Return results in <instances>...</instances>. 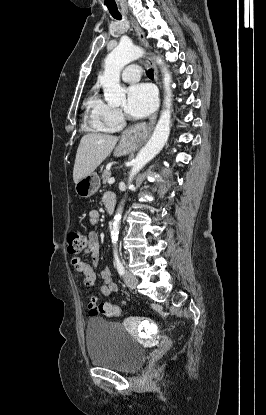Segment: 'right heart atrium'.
Instances as JSON below:
<instances>
[{
  "label": "right heart atrium",
  "mask_w": 266,
  "mask_h": 415,
  "mask_svg": "<svg viewBox=\"0 0 266 415\" xmlns=\"http://www.w3.org/2000/svg\"><path fill=\"white\" fill-rule=\"evenodd\" d=\"M97 112L109 129L118 128L124 122V116L120 109L112 107L102 101L97 106Z\"/></svg>",
  "instance_id": "right-heart-atrium-1"
}]
</instances>
